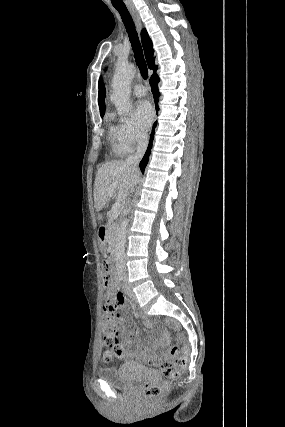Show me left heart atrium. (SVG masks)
Masks as SVG:
<instances>
[{"label":"left heart atrium","mask_w":285,"mask_h":427,"mask_svg":"<svg viewBox=\"0 0 285 427\" xmlns=\"http://www.w3.org/2000/svg\"><path fill=\"white\" fill-rule=\"evenodd\" d=\"M154 118V111L147 100H140L134 107V119L142 130H146Z\"/></svg>","instance_id":"left-heart-atrium-1"}]
</instances>
